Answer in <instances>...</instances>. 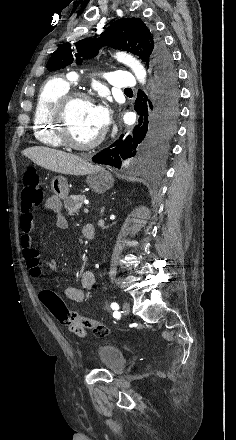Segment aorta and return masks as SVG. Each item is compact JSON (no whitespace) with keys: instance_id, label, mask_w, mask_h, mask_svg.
<instances>
[{"instance_id":"762f6f07","label":"aorta","mask_w":236,"mask_h":440,"mask_svg":"<svg viewBox=\"0 0 236 440\" xmlns=\"http://www.w3.org/2000/svg\"><path fill=\"white\" fill-rule=\"evenodd\" d=\"M115 57L131 68L140 83L144 84L146 82V71L137 59L123 52L116 53Z\"/></svg>"}]
</instances>
